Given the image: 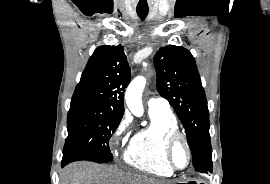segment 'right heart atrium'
Here are the masks:
<instances>
[{
    "instance_id": "d8ad5b80",
    "label": "right heart atrium",
    "mask_w": 270,
    "mask_h": 184,
    "mask_svg": "<svg viewBox=\"0 0 270 184\" xmlns=\"http://www.w3.org/2000/svg\"><path fill=\"white\" fill-rule=\"evenodd\" d=\"M132 119L128 113H125L116 125L111 135V147L114 148L126 136L130 127Z\"/></svg>"
}]
</instances>
